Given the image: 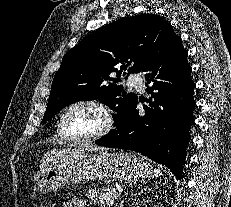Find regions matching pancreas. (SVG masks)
Wrapping results in <instances>:
<instances>
[{
	"mask_svg": "<svg viewBox=\"0 0 231 207\" xmlns=\"http://www.w3.org/2000/svg\"><path fill=\"white\" fill-rule=\"evenodd\" d=\"M118 192L115 188H92L86 194V197L94 202L95 204L100 205V207H105L106 205L113 204L117 199Z\"/></svg>",
	"mask_w": 231,
	"mask_h": 207,
	"instance_id": "obj_1",
	"label": "pancreas"
}]
</instances>
